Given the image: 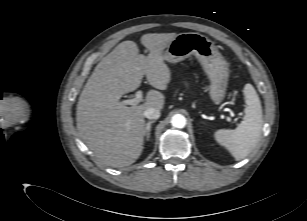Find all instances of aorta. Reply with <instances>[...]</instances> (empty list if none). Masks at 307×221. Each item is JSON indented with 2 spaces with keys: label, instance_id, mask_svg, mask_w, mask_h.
<instances>
[{
  "label": "aorta",
  "instance_id": "762f6f07",
  "mask_svg": "<svg viewBox=\"0 0 307 221\" xmlns=\"http://www.w3.org/2000/svg\"><path fill=\"white\" fill-rule=\"evenodd\" d=\"M171 125L175 128H184L186 125V118L181 114H175L171 118Z\"/></svg>",
  "mask_w": 307,
  "mask_h": 221
}]
</instances>
